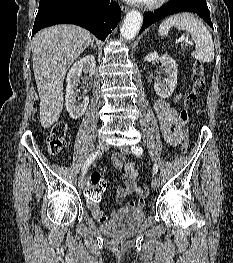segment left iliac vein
Instances as JSON below:
<instances>
[{"label":"left iliac vein","mask_w":233,"mask_h":263,"mask_svg":"<svg viewBox=\"0 0 233 263\" xmlns=\"http://www.w3.org/2000/svg\"><path fill=\"white\" fill-rule=\"evenodd\" d=\"M120 151L123 154H130L131 153V148L128 145H124L122 147H120ZM159 186V178L157 176L153 177L152 181H151V187L153 189H157Z\"/></svg>","instance_id":"left-iliac-vein-1"}]
</instances>
